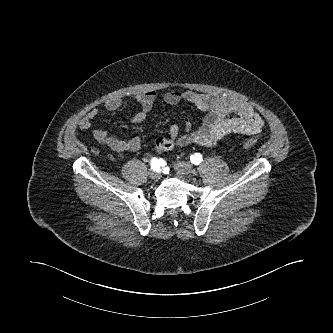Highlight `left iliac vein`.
<instances>
[{
  "label": "left iliac vein",
  "instance_id": "left-iliac-vein-1",
  "mask_svg": "<svg viewBox=\"0 0 333 333\" xmlns=\"http://www.w3.org/2000/svg\"><path fill=\"white\" fill-rule=\"evenodd\" d=\"M174 169L176 172L185 177H191L192 167L189 163L183 161H177L174 164Z\"/></svg>",
  "mask_w": 333,
  "mask_h": 333
}]
</instances>
